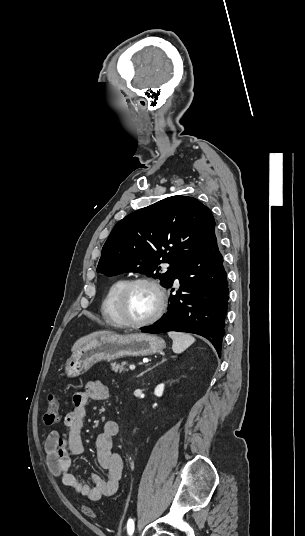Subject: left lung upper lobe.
I'll return each mask as SVG.
<instances>
[{
  "instance_id": "obj_1",
  "label": "left lung upper lobe",
  "mask_w": 305,
  "mask_h": 536,
  "mask_svg": "<svg viewBox=\"0 0 305 536\" xmlns=\"http://www.w3.org/2000/svg\"><path fill=\"white\" fill-rule=\"evenodd\" d=\"M215 220L196 198L172 196L135 211L113 228L97 271L108 276L138 272L167 286L179 267L214 233ZM169 263L161 272L160 264Z\"/></svg>"
}]
</instances>
